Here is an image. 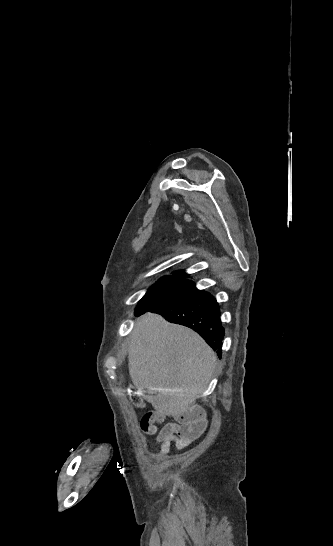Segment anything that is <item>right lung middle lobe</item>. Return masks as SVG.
<instances>
[{"label":"right lung middle lobe","mask_w":333,"mask_h":546,"mask_svg":"<svg viewBox=\"0 0 333 546\" xmlns=\"http://www.w3.org/2000/svg\"><path fill=\"white\" fill-rule=\"evenodd\" d=\"M196 290L195 284L191 281L166 276L159 279L148 290L139 301L136 310H149L162 303L187 296Z\"/></svg>","instance_id":"dd1d6c3e"}]
</instances>
